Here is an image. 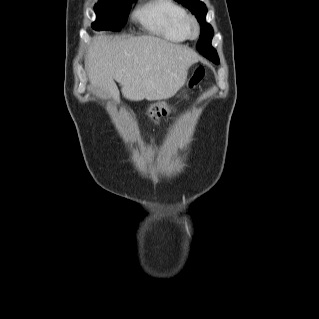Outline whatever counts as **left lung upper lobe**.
Wrapping results in <instances>:
<instances>
[{"instance_id":"left-lung-upper-lobe-1","label":"left lung upper lobe","mask_w":319,"mask_h":319,"mask_svg":"<svg viewBox=\"0 0 319 319\" xmlns=\"http://www.w3.org/2000/svg\"><path fill=\"white\" fill-rule=\"evenodd\" d=\"M176 1H178L179 3L187 7L193 14H195L196 18L200 22L201 33H200V39L197 44V49L199 44H201L202 49H204L206 53H208L210 56H215L217 54L216 50L209 45L213 37V29L205 21L206 13H207L205 4L199 0H176ZM198 51L200 52L199 49Z\"/></svg>"}]
</instances>
